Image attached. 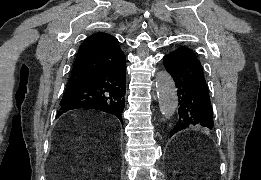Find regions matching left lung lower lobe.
<instances>
[{
    "mask_svg": "<svg viewBox=\"0 0 261 180\" xmlns=\"http://www.w3.org/2000/svg\"><path fill=\"white\" fill-rule=\"evenodd\" d=\"M164 65L177 87L179 118L170 136L187 127L212 129L213 109L203 68L187 47H179L164 57Z\"/></svg>",
    "mask_w": 261,
    "mask_h": 180,
    "instance_id": "1",
    "label": "left lung lower lobe"
}]
</instances>
